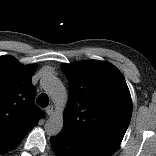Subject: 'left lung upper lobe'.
I'll list each match as a JSON object with an SVG mask.
<instances>
[{
	"instance_id": "1",
	"label": "left lung upper lobe",
	"mask_w": 156,
	"mask_h": 156,
	"mask_svg": "<svg viewBox=\"0 0 156 156\" xmlns=\"http://www.w3.org/2000/svg\"><path fill=\"white\" fill-rule=\"evenodd\" d=\"M69 99L61 133L114 153L130 123L132 100L121 72L98 60L61 65Z\"/></svg>"
}]
</instances>
